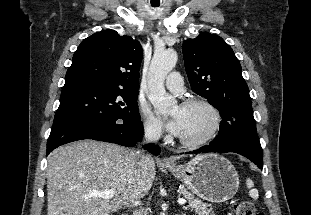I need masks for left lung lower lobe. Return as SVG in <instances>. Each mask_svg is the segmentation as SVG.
<instances>
[{
	"label": "left lung lower lobe",
	"instance_id": "1",
	"mask_svg": "<svg viewBox=\"0 0 311 215\" xmlns=\"http://www.w3.org/2000/svg\"><path fill=\"white\" fill-rule=\"evenodd\" d=\"M235 152L241 154L259 168L263 167V150L257 134H236L219 141L213 140L209 145L188 153Z\"/></svg>",
	"mask_w": 311,
	"mask_h": 215
}]
</instances>
